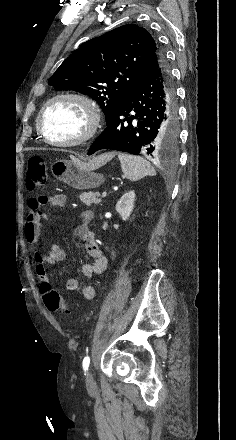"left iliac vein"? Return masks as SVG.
I'll return each instance as SVG.
<instances>
[{
	"label": "left iliac vein",
	"mask_w": 236,
	"mask_h": 440,
	"mask_svg": "<svg viewBox=\"0 0 236 440\" xmlns=\"http://www.w3.org/2000/svg\"><path fill=\"white\" fill-rule=\"evenodd\" d=\"M86 387L88 390H93L96 387L93 374L91 372V369L87 371L86 375Z\"/></svg>",
	"instance_id": "obj_1"
}]
</instances>
